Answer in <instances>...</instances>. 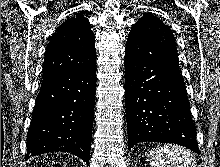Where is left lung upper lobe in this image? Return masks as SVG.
Wrapping results in <instances>:
<instances>
[{"label": "left lung upper lobe", "instance_id": "5c2ea615", "mask_svg": "<svg viewBox=\"0 0 220 167\" xmlns=\"http://www.w3.org/2000/svg\"><path fill=\"white\" fill-rule=\"evenodd\" d=\"M125 52L141 59H157L179 65L172 31L150 14L141 17L131 29Z\"/></svg>", "mask_w": 220, "mask_h": 167}]
</instances>
